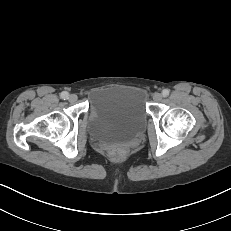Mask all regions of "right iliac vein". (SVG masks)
Masks as SVG:
<instances>
[{"instance_id": "63e3f726", "label": "right iliac vein", "mask_w": 231, "mask_h": 231, "mask_svg": "<svg viewBox=\"0 0 231 231\" xmlns=\"http://www.w3.org/2000/svg\"><path fill=\"white\" fill-rule=\"evenodd\" d=\"M78 97L77 95L75 94H71L69 97H68V100L70 103H75L77 101Z\"/></svg>"}]
</instances>
